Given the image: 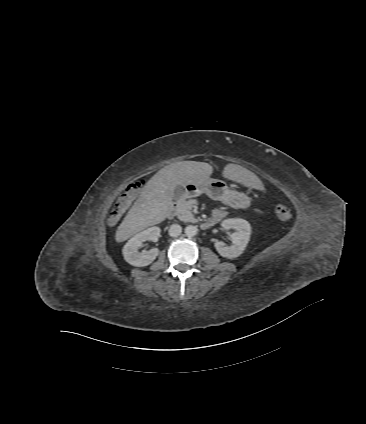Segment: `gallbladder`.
<instances>
[{"label": "gallbladder", "instance_id": "obj_1", "mask_svg": "<svg viewBox=\"0 0 366 424\" xmlns=\"http://www.w3.org/2000/svg\"><path fill=\"white\" fill-rule=\"evenodd\" d=\"M183 196V188L181 185L177 186L174 190V199L178 200Z\"/></svg>", "mask_w": 366, "mask_h": 424}]
</instances>
